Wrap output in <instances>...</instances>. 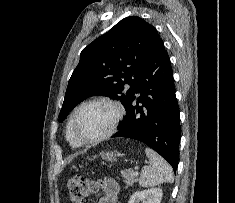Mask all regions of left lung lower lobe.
Returning <instances> with one entry per match:
<instances>
[{
    "instance_id": "obj_1",
    "label": "left lung lower lobe",
    "mask_w": 235,
    "mask_h": 203,
    "mask_svg": "<svg viewBox=\"0 0 235 203\" xmlns=\"http://www.w3.org/2000/svg\"><path fill=\"white\" fill-rule=\"evenodd\" d=\"M137 93L141 95L136 97ZM118 130L112 137L145 143L165 158L176 172L181 137L179 107L171 62L162 40L142 71Z\"/></svg>"
}]
</instances>
